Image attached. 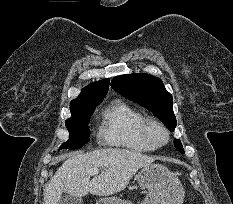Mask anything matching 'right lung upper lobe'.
I'll list each match as a JSON object with an SVG mask.
<instances>
[{"mask_svg":"<svg viewBox=\"0 0 233 204\" xmlns=\"http://www.w3.org/2000/svg\"><path fill=\"white\" fill-rule=\"evenodd\" d=\"M109 79L97 81L85 87L81 94L71 101L70 109L84 108L96 103H100L107 94Z\"/></svg>","mask_w":233,"mask_h":204,"instance_id":"cb5924a9","label":"right lung upper lobe"}]
</instances>
